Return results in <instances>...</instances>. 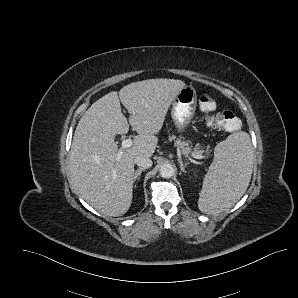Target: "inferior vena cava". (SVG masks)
<instances>
[{
	"label": "inferior vena cava",
	"mask_w": 298,
	"mask_h": 298,
	"mask_svg": "<svg viewBox=\"0 0 298 298\" xmlns=\"http://www.w3.org/2000/svg\"><path fill=\"white\" fill-rule=\"evenodd\" d=\"M134 162L137 166L144 167V168H150L153 165V162L150 158H146V157H143V156H137L134 159Z\"/></svg>",
	"instance_id": "inferior-vena-cava-1"
}]
</instances>
